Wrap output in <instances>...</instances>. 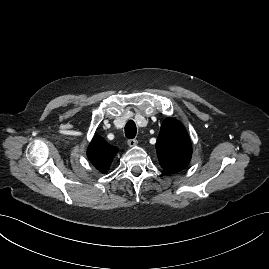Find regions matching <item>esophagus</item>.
Here are the masks:
<instances>
[{
	"label": "esophagus",
	"instance_id": "esophagus-1",
	"mask_svg": "<svg viewBox=\"0 0 269 269\" xmlns=\"http://www.w3.org/2000/svg\"><path fill=\"white\" fill-rule=\"evenodd\" d=\"M127 143L130 147H134L138 144V141L136 139H129Z\"/></svg>",
	"mask_w": 269,
	"mask_h": 269
}]
</instances>
